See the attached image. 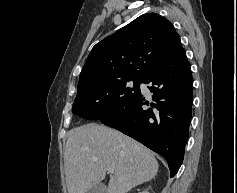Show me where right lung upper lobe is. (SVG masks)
Instances as JSON below:
<instances>
[{
  "instance_id": "cb5924a9",
  "label": "right lung upper lobe",
  "mask_w": 237,
  "mask_h": 193,
  "mask_svg": "<svg viewBox=\"0 0 237 193\" xmlns=\"http://www.w3.org/2000/svg\"><path fill=\"white\" fill-rule=\"evenodd\" d=\"M181 49L180 37L167 19L143 14L93 47L78 90L109 80L144 78Z\"/></svg>"
}]
</instances>
